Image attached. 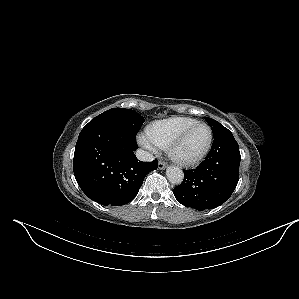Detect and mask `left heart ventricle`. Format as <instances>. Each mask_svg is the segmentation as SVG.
Instances as JSON below:
<instances>
[{"label": "left heart ventricle", "instance_id": "1", "mask_svg": "<svg viewBox=\"0 0 299 299\" xmlns=\"http://www.w3.org/2000/svg\"><path fill=\"white\" fill-rule=\"evenodd\" d=\"M209 132L205 126H197L186 136L178 148L179 156L193 158L200 154L208 142Z\"/></svg>", "mask_w": 299, "mask_h": 299}]
</instances>
